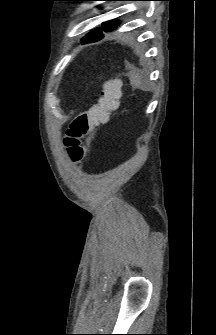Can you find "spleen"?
<instances>
[{
    "instance_id": "spleen-1",
    "label": "spleen",
    "mask_w": 216,
    "mask_h": 335,
    "mask_svg": "<svg viewBox=\"0 0 216 335\" xmlns=\"http://www.w3.org/2000/svg\"><path fill=\"white\" fill-rule=\"evenodd\" d=\"M128 75L130 83L133 87L135 88L145 87V81L143 80V76L138 68L131 66Z\"/></svg>"
}]
</instances>
